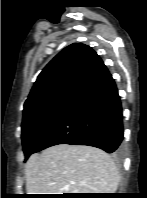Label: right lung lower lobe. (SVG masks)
<instances>
[{
  "instance_id": "right-lung-lower-lobe-1",
  "label": "right lung lower lobe",
  "mask_w": 147,
  "mask_h": 198,
  "mask_svg": "<svg viewBox=\"0 0 147 198\" xmlns=\"http://www.w3.org/2000/svg\"><path fill=\"white\" fill-rule=\"evenodd\" d=\"M122 106L109 73L78 99L34 150L58 144L89 145L119 155L123 140Z\"/></svg>"
}]
</instances>
